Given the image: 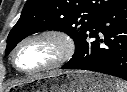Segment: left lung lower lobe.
<instances>
[{
    "label": "left lung lower lobe",
    "mask_w": 127,
    "mask_h": 92,
    "mask_svg": "<svg viewBox=\"0 0 127 92\" xmlns=\"http://www.w3.org/2000/svg\"><path fill=\"white\" fill-rule=\"evenodd\" d=\"M93 37L96 40L91 41ZM61 69L90 70L127 80V0H121L97 20Z\"/></svg>",
    "instance_id": "1"
}]
</instances>
